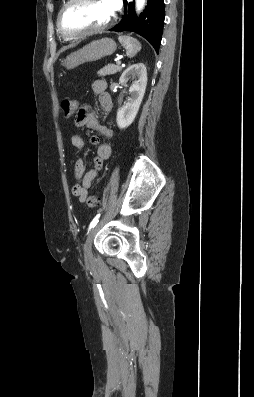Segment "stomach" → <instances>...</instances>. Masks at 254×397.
Here are the masks:
<instances>
[{"label": "stomach", "mask_w": 254, "mask_h": 397, "mask_svg": "<svg viewBox=\"0 0 254 397\" xmlns=\"http://www.w3.org/2000/svg\"><path fill=\"white\" fill-rule=\"evenodd\" d=\"M117 45L111 38L94 40L83 48L68 55L63 63L67 69H73L83 63L97 61L115 52Z\"/></svg>", "instance_id": "0dacf381"}]
</instances>
